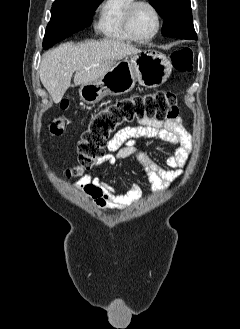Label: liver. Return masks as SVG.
Wrapping results in <instances>:
<instances>
[{
	"mask_svg": "<svg viewBox=\"0 0 240 329\" xmlns=\"http://www.w3.org/2000/svg\"><path fill=\"white\" fill-rule=\"evenodd\" d=\"M139 52L141 50L129 43L112 39L77 45L67 42L42 56L40 80L52 100L59 103L71 86L74 72L75 86L87 84L104 76L127 55Z\"/></svg>",
	"mask_w": 240,
	"mask_h": 329,
	"instance_id": "6515ba94",
	"label": "liver"
}]
</instances>
